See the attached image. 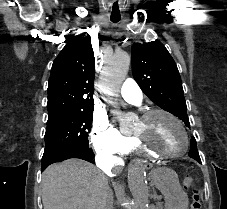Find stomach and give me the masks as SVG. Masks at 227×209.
Listing matches in <instances>:
<instances>
[{"label": "stomach", "mask_w": 227, "mask_h": 209, "mask_svg": "<svg viewBox=\"0 0 227 209\" xmlns=\"http://www.w3.org/2000/svg\"><path fill=\"white\" fill-rule=\"evenodd\" d=\"M152 181L165 198V209H187L188 196L183 191L178 175L172 169L161 167L152 173Z\"/></svg>", "instance_id": "stomach-1"}]
</instances>
